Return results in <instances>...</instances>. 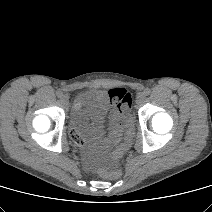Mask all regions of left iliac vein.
Listing matches in <instances>:
<instances>
[{
  "label": "left iliac vein",
  "instance_id": "4c4485c4",
  "mask_svg": "<svg viewBox=\"0 0 212 212\" xmlns=\"http://www.w3.org/2000/svg\"><path fill=\"white\" fill-rule=\"evenodd\" d=\"M144 99H145V94L144 92H140L137 94V97H136V103L138 106L142 105L143 102H144Z\"/></svg>",
  "mask_w": 212,
  "mask_h": 212
}]
</instances>
